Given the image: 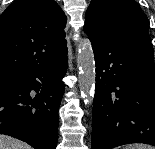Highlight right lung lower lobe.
Returning <instances> with one entry per match:
<instances>
[{
    "mask_svg": "<svg viewBox=\"0 0 155 149\" xmlns=\"http://www.w3.org/2000/svg\"><path fill=\"white\" fill-rule=\"evenodd\" d=\"M67 64L66 53L56 62L24 74L19 86L0 89L1 134L18 138L35 149H55ZM31 90L38 94L31 96Z\"/></svg>",
    "mask_w": 155,
    "mask_h": 149,
    "instance_id": "98d812e1",
    "label": "right lung lower lobe"
}]
</instances>
